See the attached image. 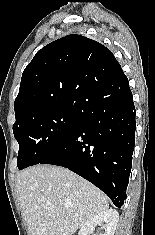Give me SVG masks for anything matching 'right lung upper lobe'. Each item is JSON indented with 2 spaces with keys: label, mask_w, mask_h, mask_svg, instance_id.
Returning a JSON list of instances; mask_svg holds the SVG:
<instances>
[{
  "label": "right lung upper lobe",
  "mask_w": 155,
  "mask_h": 235,
  "mask_svg": "<svg viewBox=\"0 0 155 235\" xmlns=\"http://www.w3.org/2000/svg\"><path fill=\"white\" fill-rule=\"evenodd\" d=\"M123 73L113 53L84 35L60 38L39 50L22 74L15 116L51 105L76 106L97 85Z\"/></svg>",
  "instance_id": "obj_1"
}]
</instances>
